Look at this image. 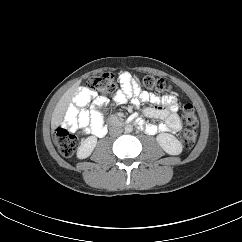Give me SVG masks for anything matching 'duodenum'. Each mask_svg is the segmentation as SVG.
<instances>
[{
    "label": "duodenum",
    "mask_w": 242,
    "mask_h": 242,
    "mask_svg": "<svg viewBox=\"0 0 242 242\" xmlns=\"http://www.w3.org/2000/svg\"><path fill=\"white\" fill-rule=\"evenodd\" d=\"M110 124L112 126H118V125L122 124V121H120V119H118V118H112L110 121ZM105 133H106V128H105V130H103L102 134H105Z\"/></svg>",
    "instance_id": "1"
}]
</instances>
